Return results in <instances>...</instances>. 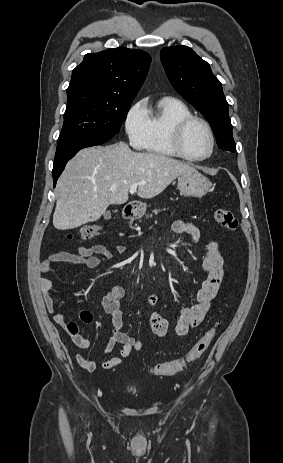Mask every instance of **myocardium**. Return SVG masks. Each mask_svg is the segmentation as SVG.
<instances>
[{
  "instance_id": "f54148a6",
  "label": "myocardium",
  "mask_w": 283,
  "mask_h": 463,
  "mask_svg": "<svg viewBox=\"0 0 283 463\" xmlns=\"http://www.w3.org/2000/svg\"><path fill=\"white\" fill-rule=\"evenodd\" d=\"M193 123H200L202 124L205 129L207 130L209 137H210V150L208 154L202 157H193L190 156L184 149L183 140L186 130L193 124ZM216 146V137L213 128L209 124L207 120L202 117L191 115L189 117L184 118L180 122L176 124L173 129L172 133V147L178 157L189 161V162H202L209 159L214 151Z\"/></svg>"
}]
</instances>
